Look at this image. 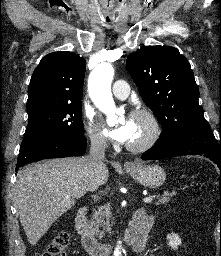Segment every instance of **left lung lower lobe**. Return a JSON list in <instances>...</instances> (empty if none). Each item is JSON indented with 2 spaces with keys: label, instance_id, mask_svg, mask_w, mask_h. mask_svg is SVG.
<instances>
[{
  "label": "left lung lower lobe",
  "instance_id": "left-lung-lower-lobe-1",
  "mask_svg": "<svg viewBox=\"0 0 221 256\" xmlns=\"http://www.w3.org/2000/svg\"><path fill=\"white\" fill-rule=\"evenodd\" d=\"M191 154L211 159L221 170V141H216L210 126L195 130L178 128L172 134L160 136L141 158L156 160Z\"/></svg>",
  "mask_w": 221,
  "mask_h": 256
}]
</instances>
